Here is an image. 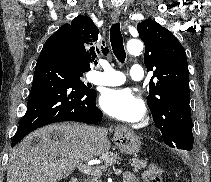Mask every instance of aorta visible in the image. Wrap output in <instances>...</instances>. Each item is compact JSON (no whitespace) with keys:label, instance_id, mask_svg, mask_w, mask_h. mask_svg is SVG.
I'll return each mask as SVG.
<instances>
[{"label":"aorta","instance_id":"aorta-1","mask_svg":"<svg viewBox=\"0 0 211 182\" xmlns=\"http://www.w3.org/2000/svg\"><path fill=\"white\" fill-rule=\"evenodd\" d=\"M143 42L139 39H131L127 42V51L131 55H137L143 50Z\"/></svg>","mask_w":211,"mask_h":182}]
</instances>
